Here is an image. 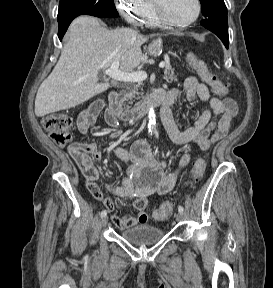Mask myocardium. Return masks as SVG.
I'll list each match as a JSON object with an SVG mask.
<instances>
[{
  "label": "myocardium",
  "instance_id": "myocardium-1",
  "mask_svg": "<svg viewBox=\"0 0 273 288\" xmlns=\"http://www.w3.org/2000/svg\"><path fill=\"white\" fill-rule=\"evenodd\" d=\"M195 3H196V12H195L194 16L192 18H190L189 20L183 21V22H177V21H173V20L169 19L164 14L162 9L157 5L155 0H152V7H153L154 15L160 23L167 25V26H170V27L184 28V27H187V26L193 24L194 22H196L198 20V18L200 17L201 10H202L201 0H195Z\"/></svg>",
  "mask_w": 273,
  "mask_h": 288
}]
</instances>
